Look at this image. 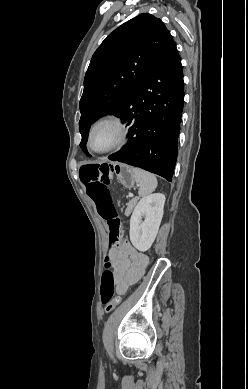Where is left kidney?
<instances>
[{
  "instance_id": "left-kidney-1",
  "label": "left kidney",
  "mask_w": 248,
  "mask_h": 389,
  "mask_svg": "<svg viewBox=\"0 0 248 389\" xmlns=\"http://www.w3.org/2000/svg\"><path fill=\"white\" fill-rule=\"evenodd\" d=\"M165 195L154 193L142 198L130 219V240L133 246L145 252L152 246L163 217ZM142 218L144 220L142 221Z\"/></svg>"
}]
</instances>
